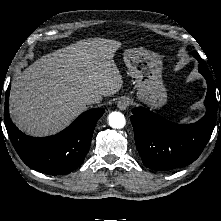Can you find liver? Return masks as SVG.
Returning <instances> with one entry per match:
<instances>
[{
  "label": "liver",
  "instance_id": "6515ba94",
  "mask_svg": "<svg viewBox=\"0 0 221 221\" xmlns=\"http://www.w3.org/2000/svg\"><path fill=\"white\" fill-rule=\"evenodd\" d=\"M120 47L116 40H80L16 74L9 99L14 123L29 135L54 134L86 109V98L119 92L123 80L113 57Z\"/></svg>",
  "mask_w": 221,
  "mask_h": 221
}]
</instances>
